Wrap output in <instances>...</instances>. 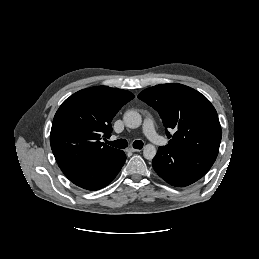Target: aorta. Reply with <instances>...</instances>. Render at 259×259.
Masks as SVG:
<instances>
[{
  "label": "aorta",
  "mask_w": 259,
  "mask_h": 259,
  "mask_svg": "<svg viewBox=\"0 0 259 259\" xmlns=\"http://www.w3.org/2000/svg\"><path fill=\"white\" fill-rule=\"evenodd\" d=\"M123 121L126 127L135 129L141 125L142 117L137 111L129 110L125 112L123 116ZM155 155H156V148L154 145L147 144L144 146V149H143L144 158L148 160H152Z\"/></svg>",
  "instance_id": "aorta-1"
}]
</instances>
